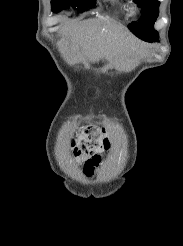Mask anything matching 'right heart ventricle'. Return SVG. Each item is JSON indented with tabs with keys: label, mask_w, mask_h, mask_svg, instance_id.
<instances>
[{
	"label": "right heart ventricle",
	"mask_w": 183,
	"mask_h": 246,
	"mask_svg": "<svg viewBox=\"0 0 183 246\" xmlns=\"http://www.w3.org/2000/svg\"><path fill=\"white\" fill-rule=\"evenodd\" d=\"M121 9H126V3L123 1H116L115 2Z\"/></svg>",
	"instance_id": "obj_1"
}]
</instances>
